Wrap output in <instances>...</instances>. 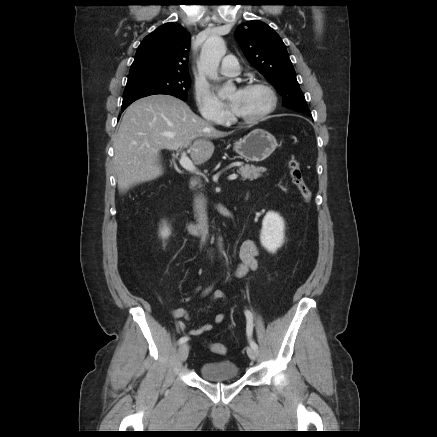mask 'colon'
<instances>
[{"label": "colon", "instance_id": "5ec220e1", "mask_svg": "<svg viewBox=\"0 0 437 437\" xmlns=\"http://www.w3.org/2000/svg\"><path fill=\"white\" fill-rule=\"evenodd\" d=\"M288 170L291 181L298 190L300 197L305 203H308L312 197V193L304 179L300 162L295 156H291L288 160ZM210 350L215 354L223 355L226 353L227 348L222 343H211Z\"/></svg>", "mask_w": 437, "mask_h": 437}]
</instances>
